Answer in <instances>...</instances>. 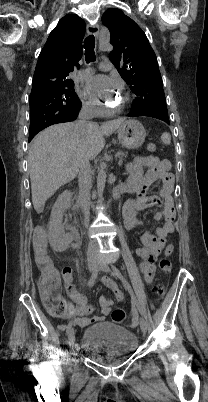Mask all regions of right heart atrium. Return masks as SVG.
I'll list each match as a JSON object with an SVG mask.
<instances>
[{
	"instance_id": "1",
	"label": "right heart atrium",
	"mask_w": 208,
	"mask_h": 402,
	"mask_svg": "<svg viewBox=\"0 0 208 402\" xmlns=\"http://www.w3.org/2000/svg\"><path fill=\"white\" fill-rule=\"evenodd\" d=\"M82 106L84 110L92 114L93 116H98L102 113V107L96 99L83 100Z\"/></svg>"
}]
</instances>
